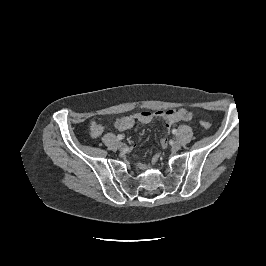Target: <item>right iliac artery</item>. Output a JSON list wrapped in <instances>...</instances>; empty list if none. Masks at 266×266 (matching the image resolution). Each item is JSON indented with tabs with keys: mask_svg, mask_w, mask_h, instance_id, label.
I'll return each mask as SVG.
<instances>
[{
	"mask_svg": "<svg viewBox=\"0 0 266 266\" xmlns=\"http://www.w3.org/2000/svg\"><path fill=\"white\" fill-rule=\"evenodd\" d=\"M117 138H118V140H122V139H124V135L119 134V135H117Z\"/></svg>",
	"mask_w": 266,
	"mask_h": 266,
	"instance_id": "obj_1",
	"label": "right iliac artery"
}]
</instances>
